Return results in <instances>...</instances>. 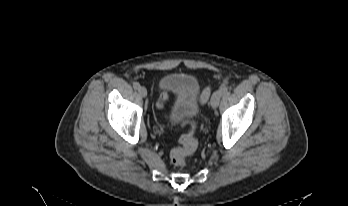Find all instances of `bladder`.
<instances>
[{
	"instance_id": "1",
	"label": "bladder",
	"mask_w": 348,
	"mask_h": 206,
	"mask_svg": "<svg viewBox=\"0 0 348 206\" xmlns=\"http://www.w3.org/2000/svg\"><path fill=\"white\" fill-rule=\"evenodd\" d=\"M159 88L174 98L168 115L170 121L177 122L198 115L200 84L195 76L168 73L160 78Z\"/></svg>"
}]
</instances>
